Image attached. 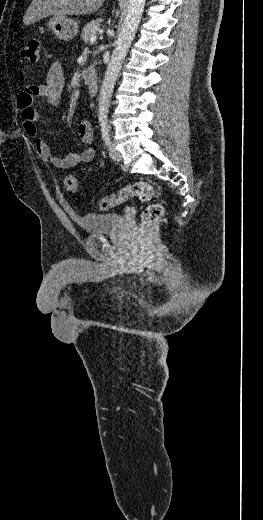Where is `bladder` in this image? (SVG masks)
Wrapping results in <instances>:
<instances>
[{"mask_svg":"<svg viewBox=\"0 0 263 520\" xmlns=\"http://www.w3.org/2000/svg\"><path fill=\"white\" fill-rule=\"evenodd\" d=\"M78 228L89 235L117 233L126 226V219L118 213H87L73 215Z\"/></svg>","mask_w":263,"mask_h":520,"instance_id":"31cf9c89","label":"bladder"}]
</instances>
